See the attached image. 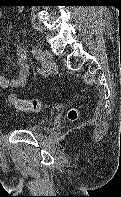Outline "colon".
I'll use <instances>...</instances> for the list:
<instances>
[{"mask_svg":"<svg viewBox=\"0 0 121 197\" xmlns=\"http://www.w3.org/2000/svg\"><path fill=\"white\" fill-rule=\"evenodd\" d=\"M8 101L17 110L26 112H39L42 109V103L39 99L25 100L16 97L15 95H9ZM68 119L74 121L78 117V110L76 108H71L67 113Z\"/></svg>","mask_w":121,"mask_h":197,"instance_id":"obj_1","label":"colon"}]
</instances>
